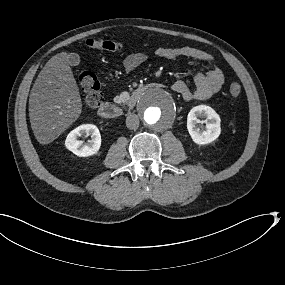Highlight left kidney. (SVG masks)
Masks as SVG:
<instances>
[{
    "label": "left kidney",
    "instance_id": "left-kidney-1",
    "mask_svg": "<svg viewBox=\"0 0 285 285\" xmlns=\"http://www.w3.org/2000/svg\"><path fill=\"white\" fill-rule=\"evenodd\" d=\"M199 118H205V130H200L197 124L200 123ZM220 117L209 106L199 105L193 107L187 117V129L192 140L200 145L208 144L218 138L221 133Z\"/></svg>",
    "mask_w": 285,
    "mask_h": 285
}]
</instances>
